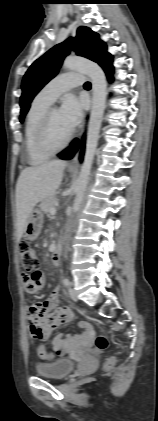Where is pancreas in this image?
<instances>
[{"instance_id": "obj_1", "label": "pancreas", "mask_w": 158, "mask_h": 421, "mask_svg": "<svg viewBox=\"0 0 158 421\" xmlns=\"http://www.w3.org/2000/svg\"><path fill=\"white\" fill-rule=\"evenodd\" d=\"M57 205H58V199L56 198L55 195H51L45 198L44 200H42L40 204V208L44 213L49 214L50 210L52 208H55Z\"/></svg>"}]
</instances>
